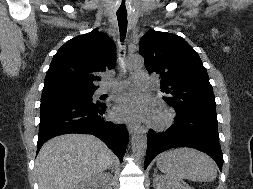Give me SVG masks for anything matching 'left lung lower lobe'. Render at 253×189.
Segmentation results:
<instances>
[{"label":"left lung lower lobe","instance_id":"0a47b994","mask_svg":"<svg viewBox=\"0 0 253 189\" xmlns=\"http://www.w3.org/2000/svg\"><path fill=\"white\" fill-rule=\"evenodd\" d=\"M176 113L174 126L164 133L149 130L144 168L163 151L175 147H192L212 157L222 171L223 154L216 115L192 110H176Z\"/></svg>","mask_w":253,"mask_h":189}]
</instances>
